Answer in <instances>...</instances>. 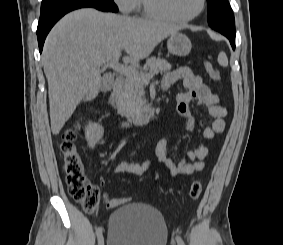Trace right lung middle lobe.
<instances>
[{
  "label": "right lung middle lobe",
  "mask_w": 283,
  "mask_h": 245,
  "mask_svg": "<svg viewBox=\"0 0 283 245\" xmlns=\"http://www.w3.org/2000/svg\"><path fill=\"white\" fill-rule=\"evenodd\" d=\"M75 1H80V0H42L41 12ZM106 1L113 2V0H106Z\"/></svg>",
  "instance_id": "obj_1"
}]
</instances>
